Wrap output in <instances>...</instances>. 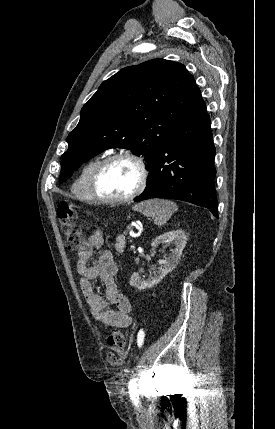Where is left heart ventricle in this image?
Segmentation results:
<instances>
[{"mask_svg":"<svg viewBox=\"0 0 275 429\" xmlns=\"http://www.w3.org/2000/svg\"><path fill=\"white\" fill-rule=\"evenodd\" d=\"M138 180L139 172L134 163L117 160L102 171L97 187L100 195L119 198L130 194L137 186Z\"/></svg>","mask_w":275,"mask_h":429,"instance_id":"obj_1","label":"left heart ventricle"}]
</instances>
